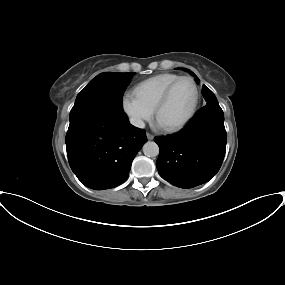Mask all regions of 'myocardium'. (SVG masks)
Returning <instances> with one entry per match:
<instances>
[{
    "label": "myocardium",
    "mask_w": 285,
    "mask_h": 285,
    "mask_svg": "<svg viewBox=\"0 0 285 285\" xmlns=\"http://www.w3.org/2000/svg\"><path fill=\"white\" fill-rule=\"evenodd\" d=\"M182 80H189L193 84V87L195 90L194 104H193V107H192L191 111L189 112V114L181 122H179L175 125H172V126L164 127V130L167 132H176V131H179L182 128H184L194 118L195 114L197 113L198 107H199V103H200L199 85L197 84L195 79L191 76H187V75L179 76L178 78H176L174 81H172L167 86V88L164 90L163 94L161 95L160 99L158 100V102L154 108L155 118L158 119L159 112L165 106V104L168 102L173 89Z\"/></svg>",
    "instance_id": "f54148a6"
}]
</instances>
